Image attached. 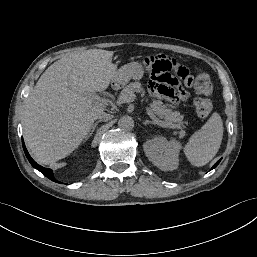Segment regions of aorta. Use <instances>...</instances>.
I'll return each mask as SVG.
<instances>
[{"instance_id": "obj_1", "label": "aorta", "mask_w": 257, "mask_h": 257, "mask_svg": "<svg viewBox=\"0 0 257 257\" xmlns=\"http://www.w3.org/2000/svg\"><path fill=\"white\" fill-rule=\"evenodd\" d=\"M118 126L124 130H131L134 127V120L128 115L122 116L118 121Z\"/></svg>"}]
</instances>
